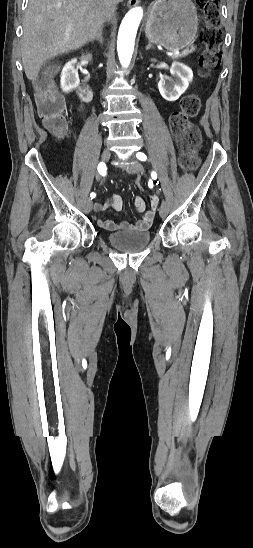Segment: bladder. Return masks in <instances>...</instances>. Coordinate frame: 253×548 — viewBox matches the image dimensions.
Listing matches in <instances>:
<instances>
[{"label":"bladder","mask_w":253,"mask_h":548,"mask_svg":"<svg viewBox=\"0 0 253 548\" xmlns=\"http://www.w3.org/2000/svg\"><path fill=\"white\" fill-rule=\"evenodd\" d=\"M107 240L121 252L134 253L148 246L151 234L149 231H116L109 233Z\"/></svg>","instance_id":"31cf9c89"}]
</instances>
